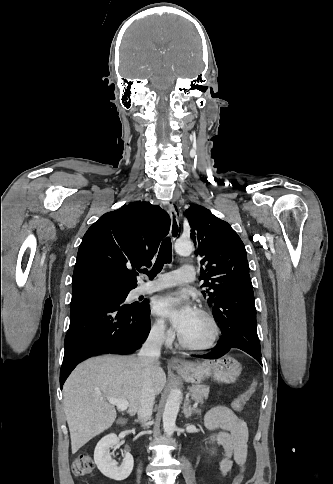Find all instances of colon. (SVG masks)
I'll list each match as a JSON object with an SVG mask.
<instances>
[{
	"label": "colon",
	"mask_w": 333,
	"mask_h": 484,
	"mask_svg": "<svg viewBox=\"0 0 333 484\" xmlns=\"http://www.w3.org/2000/svg\"><path fill=\"white\" fill-rule=\"evenodd\" d=\"M255 393V384L252 383L243 393L237 396L230 404V409L233 411H241L246 403L251 399ZM73 473L76 476L83 477L91 475L94 471V462L91 456L87 454L79 455L72 464ZM242 476L238 475L233 484H240Z\"/></svg>",
	"instance_id": "colon-1"
}]
</instances>
